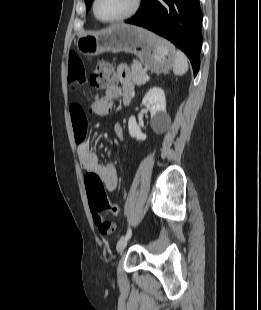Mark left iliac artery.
Listing matches in <instances>:
<instances>
[{
	"label": "left iliac artery",
	"mask_w": 261,
	"mask_h": 310,
	"mask_svg": "<svg viewBox=\"0 0 261 310\" xmlns=\"http://www.w3.org/2000/svg\"><path fill=\"white\" fill-rule=\"evenodd\" d=\"M130 237H131V229L128 228L127 233H126V235H125V238H126V239H130Z\"/></svg>",
	"instance_id": "1"
}]
</instances>
